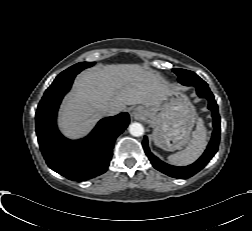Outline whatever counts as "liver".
<instances>
[{"instance_id": "liver-1", "label": "liver", "mask_w": 252, "mask_h": 231, "mask_svg": "<svg viewBox=\"0 0 252 231\" xmlns=\"http://www.w3.org/2000/svg\"><path fill=\"white\" fill-rule=\"evenodd\" d=\"M173 90L153 71L137 64H112L82 72L66 96L59 126L70 138L87 134L103 115L102 108L127 105L159 106Z\"/></svg>"}]
</instances>
